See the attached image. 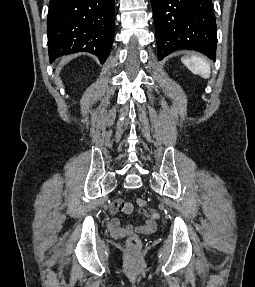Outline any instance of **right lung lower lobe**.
Masks as SVG:
<instances>
[{"label": "right lung lower lobe", "mask_w": 255, "mask_h": 287, "mask_svg": "<svg viewBox=\"0 0 255 287\" xmlns=\"http://www.w3.org/2000/svg\"><path fill=\"white\" fill-rule=\"evenodd\" d=\"M49 58L90 52L103 64L114 39V0H50Z\"/></svg>", "instance_id": "right-lung-lower-lobe-1"}]
</instances>
